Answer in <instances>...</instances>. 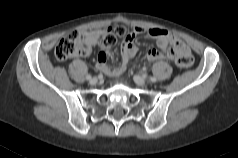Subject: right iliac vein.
<instances>
[{
  "instance_id": "1",
  "label": "right iliac vein",
  "mask_w": 238,
  "mask_h": 158,
  "mask_svg": "<svg viewBox=\"0 0 238 158\" xmlns=\"http://www.w3.org/2000/svg\"><path fill=\"white\" fill-rule=\"evenodd\" d=\"M98 82L97 78L93 77L90 79V84L95 85Z\"/></svg>"
}]
</instances>
